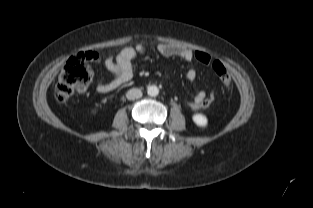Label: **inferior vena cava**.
I'll return each instance as SVG.
<instances>
[{
	"instance_id": "obj_1",
	"label": "inferior vena cava",
	"mask_w": 313,
	"mask_h": 208,
	"mask_svg": "<svg viewBox=\"0 0 313 208\" xmlns=\"http://www.w3.org/2000/svg\"><path fill=\"white\" fill-rule=\"evenodd\" d=\"M126 97L128 100H135L142 97V91L137 88H132L127 91Z\"/></svg>"
}]
</instances>
